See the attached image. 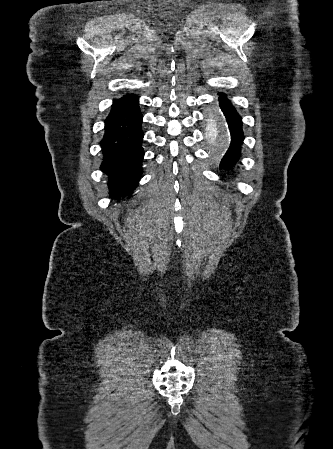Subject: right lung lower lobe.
Returning a JSON list of instances; mask_svg holds the SVG:
<instances>
[{
	"mask_svg": "<svg viewBox=\"0 0 333 449\" xmlns=\"http://www.w3.org/2000/svg\"><path fill=\"white\" fill-rule=\"evenodd\" d=\"M142 114L138 97L125 95L114 101L105 120V132L100 145L103 162L101 170L109 178L110 196H129L142 174Z\"/></svg>",
	"mask_w": 333,
	"mask_h": 449,
	"instance_id": "right-lung-lower-lobe-1",
	"label": "right lung lower lobe"
}]
</instances>
